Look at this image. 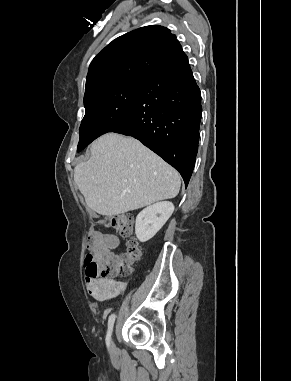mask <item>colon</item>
<instances>
[{"label": "colon", "mask_w": 291, "mask_h": 381, "mask_svg": "<svg viewBox=\"0 0 291 381\" xmlns=\"http://www.w3.org/2000/svg\"><path fill=\"white\" fill-rule=\"evenodd\" d=\"M103 224L128 238V249L125 253H113L108 250L98 249L91 243L84 263L88 277L107 278L111 276H127L132 272L133 266L142 256L137 242L132 239L134 221L130 215H112L104 219Z\"/></svg>", "instance_id": "1"}]
</instances>
